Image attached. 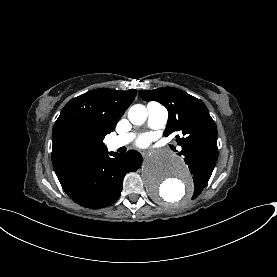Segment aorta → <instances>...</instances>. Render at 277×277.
I'll return each instance as SVG.
<instances>
[{"label": "aorta", "instance_id": "aorta-1", "mask_svg": "<svg viewBox=\"0 0 277 277\" xmlns=\"http://www.w3.org/2000/svg\"><path fill=\"white\" fill-rule=\"evenodd\" d=\"M145 106L137 104L130 108L128 118L134 125L147 119ZM142 177L150 195L157 201L182 204L192 194V179L184 160L166 150L152 153L142 166Z\"/></svg>", "mask_w": 277, "mask_h": 277}]
</instances>
